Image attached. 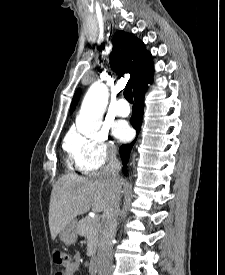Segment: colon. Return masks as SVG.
<instances>
[{"mask_svg":"<svg viewBox=\"0 0 225 275\" xmlns=\"http://www.w3.org/2000/svg\"><path fill=\"white\" fill-rule=\"evenodd\" d=\"M53 261L57 265L67 267L73 261V256L68 251L56 249L53 252Z\"/></svg>","mask_w":225,"mask_h":275,"instance_id":"1","label":"colon"}]
</instances>
